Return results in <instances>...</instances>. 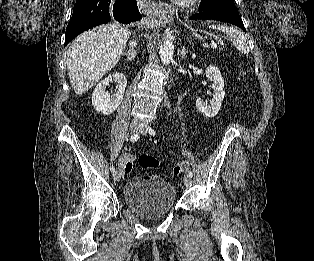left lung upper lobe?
Masks as SVG:
<instances>
[{
    "instance_id": "1",
    "label": "left lung upper lobe",
    "mask_w": 314,
    "mask_h": 261,
    "mask_svg": "<svg viewBox=\"0 0 314 261\" xmlns=\"http://www.w3.org/2000/svg\"><path fill=\"white\" fill-rule=\"evenodd\" d=\"M199 11L238 12L233 0H201Z\"/></svg>"
}]
</instances>
